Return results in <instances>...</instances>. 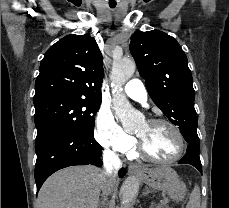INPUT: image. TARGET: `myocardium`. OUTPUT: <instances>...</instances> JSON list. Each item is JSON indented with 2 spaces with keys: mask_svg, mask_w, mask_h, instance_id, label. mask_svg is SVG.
Masks as SVG:
<instances>
[{
  "mask_svg": "<svg viewBox=\"0 0 229 208\" xmlns=\"http://www.w3.org/2000/svg\"><path fill=\"white\" fill-rule=\"evenodd\" d=\"M148 124H162V125H167L171 127L174 130H170V135H173L174 138V143H176V147H184L182 152L179 153L177 156L171 158V160H158V157H150V152H146L145 148V140L141 138L140 136H137L139 139V142H137V153H144L145 156L150 158L153 162L157 163H163V164H168V163H174L176 161H179L182 159V157L186 154V152L189 149V140L186 134L183 132V130L176 125L175 123L166 120V119H160V118H151L146 121ZM184 140V142H183Z\"/></svg>",
  "mask_w": 229,
  "mask_h": 208,
  "instance_id": "obj_1",
  "label": "myocardium"
}]
</instances>
